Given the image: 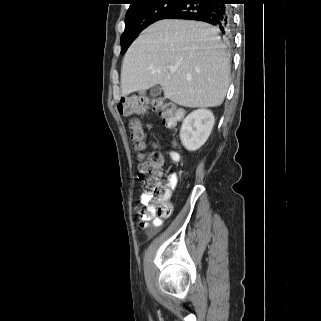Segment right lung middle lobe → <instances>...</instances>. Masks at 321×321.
Here are the masks:
<instances>
[{
    "mask_svg": "<svg viewBox=\"0 0 321 321\" xmlns=\"http://www.w3.org/2000/svg\"><path fill=\"white\" fill-rule=\"evenodd\" d=\"M180 0H152L128 9L125 17V30L121 36V54L146 27L160 20V17Z\"/></svg>",
    "mask_w": 321,
    "mask_h": 321,
    "instance_id": "1",
    "label": "right lung middle lobe"
}]
</instances>
